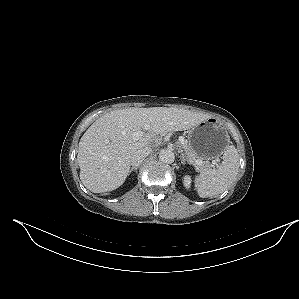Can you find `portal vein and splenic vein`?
I'll list each match as a JSON object with an SVG mask.
<instances>
[{
	"label": "portal vein and splenic vein",
	"instance_id": "portal-vein-and-splenic-vein-1",
	"mask_svg": "<svg viewBox=\"0 0 299 299\" xmlns=\"http://www.w3.org/2000/svg\"><path fill=\"white\" fill-rule=\"evenodd\" d=\"M143 134H144V132H143L142 130L136 131V132H134V134H133V138H134L135 140H138L139 137H141ZM180 142H181L182 146L184 147L185 144H186V141H185L184 139H181ZM193 163H194L195 165H202V164H203L202 160H195V161H193Z\"/></svg>",
	"mask_w": 299,
	"mask_h": 299
}]
</instances>
